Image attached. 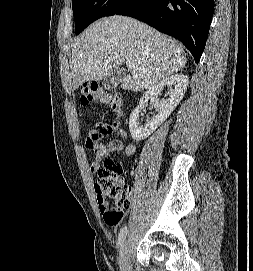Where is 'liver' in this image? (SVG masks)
Instances as JSON below:
<instances>
[{
  "label": "liver",
  "mask_w": 253,
  "mask_h": 271,
  "mask_svg": "<svg viewBox=\"0 0 253 271\" xmlns=\"http://www.w3.org/2000/svg\"><path fill=\"white\" fill-rule=\"evenodd\" d=\"M125 61L135 67L123 77L121 88L137 92L182 70L187 59L177 41L147 24L125 16L106 17L75 40L69 86L78 89L84 82L101 81Z\"/></svg>",
  "instance_id": "1"
}]
</instances>
